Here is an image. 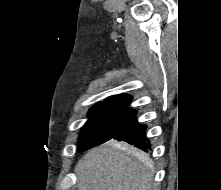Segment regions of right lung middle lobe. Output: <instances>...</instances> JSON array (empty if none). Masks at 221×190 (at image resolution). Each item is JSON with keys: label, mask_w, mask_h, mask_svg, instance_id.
<instances>
[{"label": "right lung middle lobe", "mask_w": 221, "mask_h": 190, "mask_svg": "<svg viewBox=\"0 0 221 190\" xmlns=\"http://www.w3.org/2000/svg\"><path fill=\"white\" fill-rule=\"evenodd\" d=\"M137 111L117 106L94 105L79 135V151L83 152L112 139L135 116Z\"/></svg>", "instance_id": "right-lung-middle-lobe-1"}]
</instances>
